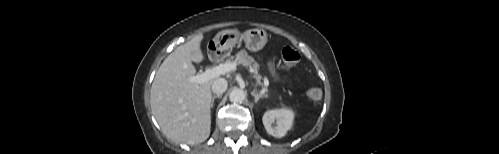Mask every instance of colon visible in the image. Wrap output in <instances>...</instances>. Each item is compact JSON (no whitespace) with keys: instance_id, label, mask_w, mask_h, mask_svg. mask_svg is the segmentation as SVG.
Wrapping results in <instances>:
<instances>
[{"instance_id":"colon-1","label":"colon","mask_w":499,"mask_h":154,"mask_svg":"<svg viewBox=\"0 0 499 154\" xmlns=\"http://www.w3.org/2000/svg\"><path fill=\"white\" fill-rule=\"evenodd\" d=\"M300 60V54L292 47H285L281 52V68L284 70L295 66ZM307 96L312 101H319L322 98V91L318 86H312L307 91Z\"/></svg>"}]
</instances>
